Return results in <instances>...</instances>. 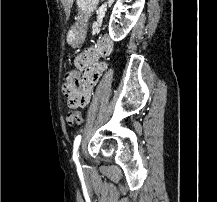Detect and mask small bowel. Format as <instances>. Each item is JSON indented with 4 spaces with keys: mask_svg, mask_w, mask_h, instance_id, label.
I'll use <instances>...</instances> for the list:
<instances>
[{
    "mask_svg": "<svg viewBox=\"0 0 217 202\" xmlns=\"http://www.w3.org/2000/svg\"><path fill=\"white\" fill-rule=\"evenodd\" d=\"M113 49V41L109 36L105 35L94 47L90 50H84L76 57L75 65L85 70L84 81L86 88L83 91V95H92L94 87L104 71V65L98 59L108 57L113 52Z\"/></svg>",
    "mask_w": 217,
    "mask_h": 202,
    "instance_id": "1",
    "label": "small bowel"
}]
</instances>
